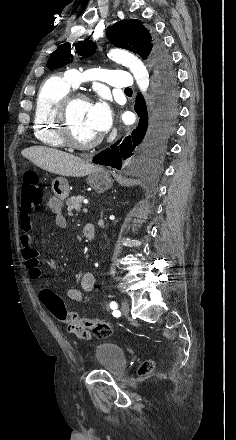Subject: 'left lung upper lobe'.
Returning <instances> with one entry per match:
<instances>
[{
	"label": "left lung upper lobe",
	"mask_w": 236,
	"mask_h": 440,
	"mask_svg": "<svg viewBox=\"0 0 236 440\" xmlns=\"http://www.w3.org/2000/svg\"><path fill=\"white\" fill-rule=\"evenodd\" d=\"M111 42L120 48H125L138 54L143 60L148 59L152 64L156 61L171 63L161 41L138 20H122L111 26L106 34ZM96 49L92 41H79L76 44L65 43L52 53L47 67L55 69L73 61V54L89 56Z\"/></svg>",
	"instance_id": "left-lung-upper-lobe-1"
}]
</instances>
